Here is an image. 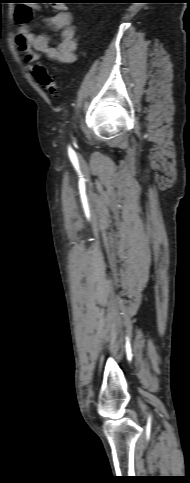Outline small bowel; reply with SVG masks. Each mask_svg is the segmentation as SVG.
Masks as SVG:
<instances>
[{"label":"small bowel","mask_w":190,"mask_h":483,"mask_svg":"<svg viewBox=\"0 0 190 483\" xmlns=\"http://www.w3.org/2000/svg\"><path fill=\"white\" fill-rule=\"evenodd\" d=\"M32 7L20 4L15 10V19L19 24L15 44L27 62L33 63L44 54L49 60L71 64L77 59L76 28L72 23V14L64 7L57 6V12L47 18L48 25L60 32L56 46L49 45V38L44 34H34L27 23L31 18Z\"/></svg>","instance_id":"c3829d8e"}]
</instances>
